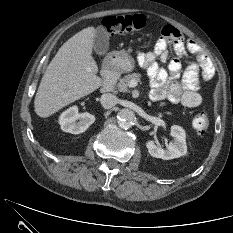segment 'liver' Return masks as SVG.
<instances>
[{
  "label": "liver",
  "instance_id": "obj_1",
  "mask_svg": "<svg viewBox=\"0 0 233 233\" xmlns=\"http://www.w3.org/2000/svg\"><path fill=\"white\" fill-rule=\"evenodd\" d=\"M96 29L88 27L68 39L48 65L38 87L34 108L49 117L102 85L92 56Z\"/></svg>",
  "mask_w": 233,
  "mask_h": 233
}]
</instances>
